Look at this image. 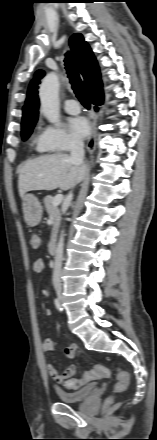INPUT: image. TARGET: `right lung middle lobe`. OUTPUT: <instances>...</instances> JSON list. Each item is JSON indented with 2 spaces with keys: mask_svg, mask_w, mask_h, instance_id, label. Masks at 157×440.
I'll return each instance as SVG.
<instances>
[{
  "mask_svg": "<svg viewBox=\"0 0 157 440\" xmlns=\"http://www.w3.org/2000/svg\"><path fill=\"white\" fill-rule=\"evenodd\" d=\"M34 124H35V123H29V124L22 125V128H21V130H22L21 135H22V138H23L24 140H26V139L30 136V134L32 133V130H33Z\"/></svg>",
  "mask_w": 157,
  "mask_h": 440,
  "instance_id": "right-lung-middle-lobe-1",
  "label": "right lung middle lobe"
}]
</instances>
